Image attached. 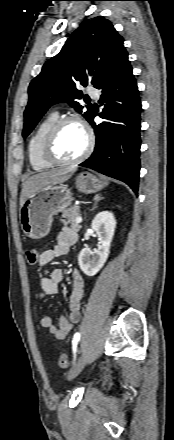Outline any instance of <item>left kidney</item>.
Returning a JSON list of instances; mask_svg holds the SVG:
<instances>
[{
  "mask_svg": "<svg viewBox=\"0 0 174 440\" xmlns=\"http://www.w3.org/2000/svg\"><path fill=\"white\" fill-rule=\"evenodd\" d=\"M91 228L98 235L100 246L94 252L87 248L82 249L78 257L80 269L87 276L96 275L105 264L116 228V220L112 212L102 211L98 213L92 223Z\"/></svg>",
  "mask_w": 174,
  "mask_h": 440,
  "instance_id": "left-kidney-1",
  "label": "left kidney"
}]
</instances>
